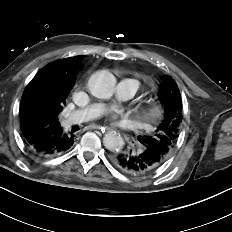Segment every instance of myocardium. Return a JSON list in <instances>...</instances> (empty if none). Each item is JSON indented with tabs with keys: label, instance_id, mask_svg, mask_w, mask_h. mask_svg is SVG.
Listing matches in <instances>:
<instances>
[{
	"label": "myocardium",
	"instance_id": "f54148a6",
	"mask_svg": "<svg viewBox=\"0 0 232 232\" xmlns=\"http://www.w3.org/2000/svg\"><path fill=\"white\" fill-rule=\"evenodd\" d=\"M157 115V111L154 108H148L144 114L145 119L154 118Z\"/></svg>",
	"mask_w": 232,
	"mask_h": 232
}]
</instances>
